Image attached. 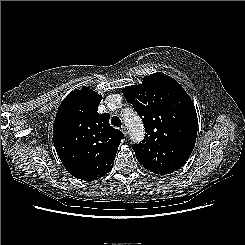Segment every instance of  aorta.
Returning a JSON list of instances; mask_svg holds the SVG:
<instances>
[{
  "instance_id": "aorta-1",
  "label": "aorta",
  "mask_w": 245,
  "mask_h": 245,
  "mask_svg": "<svg viewBox=\"0 0 245 245\" xmlns=\"http://www.w3.org/2000/svg\"><path fill=\"white\" fill-rule=\"evenodd\" d=\"M124 121L130 131L132 140L134 142L141 141L144 137V128L139 116L131 112L124 117Z\"/></svg>"
}]
</instances>
